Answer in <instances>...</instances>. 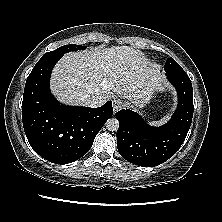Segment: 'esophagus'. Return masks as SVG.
<instances>
[{
    "mask_svg": "<svg viewBox=\"0 0 222 222\" xmlns=\"http://www.w3.org/2000/svg\"><path fill=\"white\" fill-rule=\"evenodd\" d=\"M124 106V102L120 98H115L113 100V110L114 112H118Z\"/></svg>",
    "mask_w": 222,
    "mask_h": 222,
    "instance_id": "obj_1",
    "label": "esophagus"
}]
</instances>
